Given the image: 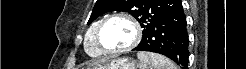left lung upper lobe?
Masks as SVG:
<instances>
[{
	"label": "left lung upper lobe",
	"mask_w": 246,
	"mask_h": 69,
	"mask_svg": "<svg viewBox=\"0 0 246 69\" xmlns=\"http://www.w3.org/2000/svg\"><path fill=\"white\" fill-rule=\"evenodd\" d=\"M179 3L180 0H97L88 24L106 12L124 11L135 17L145 31Z\"/></svg>",
	"instance_id": "obj_1"
}]
</instances>
